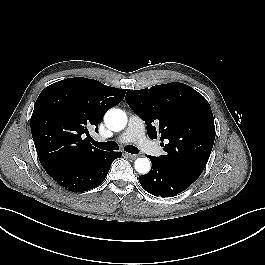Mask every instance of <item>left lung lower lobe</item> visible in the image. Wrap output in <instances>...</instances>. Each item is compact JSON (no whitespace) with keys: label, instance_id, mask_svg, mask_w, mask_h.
<instances>
[{"label":"left lung lower lobe","instance_id":"obj_1","mask_svg":"<svg viewBox=\"0 0 265 265\" xmlns=\"http://www.w3.org/2000/svg\"><path fill=\"white\" fill-rule=\"evenodd\" d=\"M152 163L148 174L139 176L142 187L154 196L172 197L186 190L197 179L162 164L156 157L148 156Z\"/></svg>","mask_w":265,"mask_h":265}]
</instances>
